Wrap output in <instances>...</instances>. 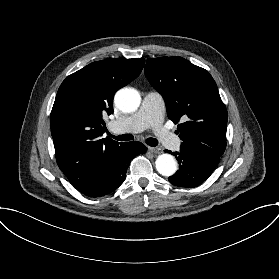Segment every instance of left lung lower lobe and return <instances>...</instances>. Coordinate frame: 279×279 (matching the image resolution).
I'll use <instances>...</instances> for the list:
<instances>
[{
  "label": "left lung lower lobe",
  "instance_id": "left-lung-lower-lobe-1",
  "mask_svg": "<svg viewBox=\"0 0 279 279\" xmlns=\"http://www.w3.org/2000/svg\"><path fill=\"white\" fill-rule=\"evenodd\" d=\"M167 151V150H165ZM179 162V170L171 177V184L179 187H195L203 183L216 168L220 157L201 150L180 149L171 152Z\"/></svg>",
  "mask_w": 279,
  "mask_h": 279
}]
</instances>
